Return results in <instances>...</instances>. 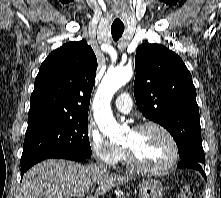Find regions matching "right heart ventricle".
<instances>
[{
    "label": "right heart ventricle",
    "mask_w": 221,
    "mask_h": 198,
    "mask_svg": "<svg viewBox=\"0 0 221 198\" xmlns=\"http://www.w3.org/2000/svg\"><path fill=\"white\" fill-rule=\"evenodd\" d=\"M119 161L126 162V160H125V155H124V151H123V150H122V154H121V156H120Z\"/></svg>",
    "instance_id": "obj_1"
}]
</instances>
